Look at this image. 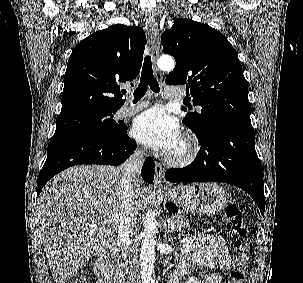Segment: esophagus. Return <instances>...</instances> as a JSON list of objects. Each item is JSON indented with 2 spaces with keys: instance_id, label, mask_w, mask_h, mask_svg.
<instances>
[{
  "instance_id": "34e87169",
  "label": "esophagus",
  "mask_w": 303,
  "mask_h": 283,
  "mask_svg": "<svg viewBox=\"0 0 303 283\" xmlns=\"http://www.w3.org/2000/svg\"><path fill=\"white\" fill-rule=\"evenodd\" d=\"M147 25L150 34L151 55L154 63L155 75L158 79H162V75L156 66V61L159 57V51H160L158 22L154 17H149L147 19ZM164 173H165L164 167L159 162H155L154 183L156 185H162L165 183Z\"/></svg>"
}]
</instances>
